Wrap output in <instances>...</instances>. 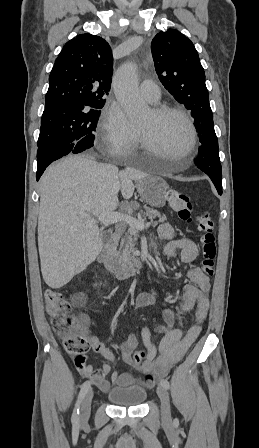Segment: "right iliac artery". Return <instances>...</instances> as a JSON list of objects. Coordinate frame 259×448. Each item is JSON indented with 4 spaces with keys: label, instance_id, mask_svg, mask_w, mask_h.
<instances>
[{
    "label": "right iliac artery",
    "instance_id": "1",
    "mask_svg": "<svg viewBox=\"0 0 259 448\" xmlns=\"http://www.w3.org/2000/svg\"><path fill=\"white\" fill-rule=\"evenodd\" d=\"M89 388H90V382L85 381L81 387L80 392H79V396H78V399H77V402H76V405H75V408H74V411L72 414V422L74 424H78V422H79V407H80V404H81L83 398L85 397L87 391L89 390Z\"/></svg>",
    "mask_w": 259,
    "mask_h": 448
}]
</instances>
